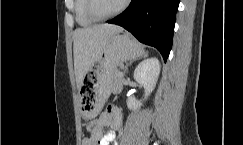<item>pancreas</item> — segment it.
<instances>
[{
  "instance_id": "obj_1",
  "label": "pancreas",
  "mask_w": 243,
  "mask_h": 145,
  "mask_svg": "<svg viewBox=\"0 0 243 145\" xmlns=\"http://www.w3.org/2000/svg\"><path fill=\"white\" fill-rule=\"evenodd\" d=\"M123 77L120 76L119 71H115L113 75V83L116 89H120L122 87Z\"/></svg>"
}]
</instances>
